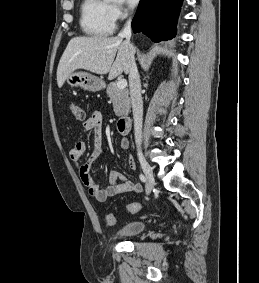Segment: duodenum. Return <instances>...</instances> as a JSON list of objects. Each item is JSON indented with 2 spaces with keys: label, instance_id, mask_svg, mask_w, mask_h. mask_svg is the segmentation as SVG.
Instances as JSON below:
<instances>
[{
  "label": "duodenum",
  "instance_id": "1",
  "mask_svg": "<svg viewBox=\"0 0 259 283\" xmlns=\"http://www.w3.org/2000/svg\"><path fill=\"white\" fill-rule=\"evenodd\" d=\"M117 128L120 134H128L131 128V118L129 116L121 117L117 122Z\"/></svg>",
  "mask_w": 259,
  "mask_h": 283
}]
</instances>
